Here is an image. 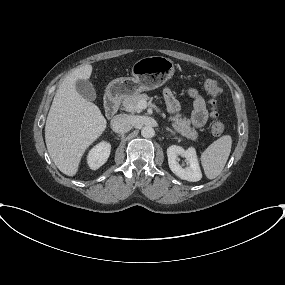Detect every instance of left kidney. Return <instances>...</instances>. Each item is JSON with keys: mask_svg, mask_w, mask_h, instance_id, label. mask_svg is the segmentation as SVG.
<instances>
[{"mask_svg": "<svg viewBox=\"0 0 285 285\" xmlns=\"http://www.w3.org/2000/svg\"><path fill=\"white\" fill-rule=\"evenodd\" d=\"M179 156L185 158L188 166L183 167L179 164ZM168 164L171 171L183 180L197 182L202 178L196 150L193 147L185 150L184 148L171 145L167 148Z\"/></svg>", "mask_w": 285, "mask_h": 285, "instance_id": "1", "label": "left kidney"}]
</instances>
